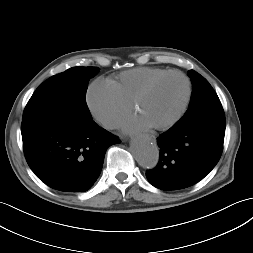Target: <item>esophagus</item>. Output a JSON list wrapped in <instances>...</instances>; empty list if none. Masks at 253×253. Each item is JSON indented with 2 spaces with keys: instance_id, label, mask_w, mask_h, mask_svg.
Here are the masks:
<instances>
[{
  "instance_id": "obj_1",
  "label": "esophagus",
  "mask_w": 253,
  "mask_h": 253,
  "mask_svg": "<svg viewBox=\"0 0 253 253\" xmlns=\"http://www.w3.org/2000/svg\"><path fill=\"white\" fill-rule=\"evenodd\" d=\"M146 137H147V138H149V139H152V140H154V139H155V137H154V136H152V135H146Z\"/></svg>"
}]
</instances>
